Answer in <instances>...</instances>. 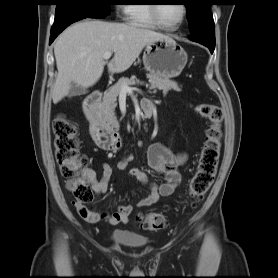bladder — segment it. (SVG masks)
I'll return each mask as SVG.
<instances>
[{
    "label": "bladder",
    "mask_w": 278,
    "mask_h": 278,
    "mask_svg": "<svg viewBox=\"0 0 278 278\" xmlns=\"http://www.w3.org/2000/svg\"><path fill=\"white\" fill-rule=\"evenodd\" d=\"M111 239L115 244L126 248H141L148 243L146 237L123 230L114 231Z\"/></svg>",
    "instance_id": "obj_1"
}]
</instances>
